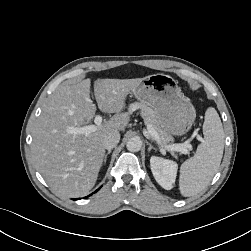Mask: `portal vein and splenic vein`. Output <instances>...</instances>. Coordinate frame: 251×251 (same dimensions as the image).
Segmentation results:
<instances>
[{"mask_svg": "<svg viewBox=\"0 0 251 251\" xmlns=\"http://www.w3.org/2000/svg\"><path fill=\"white\" fill-rule=\"evenodd\" d=\"M94 123H95V125H87V126H83V127H70L68 129V132L71 134H75V135H77V134L88 135V134L96 131L97 127L101 125L102 117L100 115H97L94 119ZM146 126H147V130H148L150 136L161 146L158 133L153 129V127L151 125H146ZM200 140H201V138H200ZM161 147H163V146H161ZM190 147H191V145L185 142L182 144L168 145L163 148L168 151H172V152L177 151V152H181L183 154H188L189 153L188 148H190Z\"/></svg>", "mask_w": 251, "mask_h": 251, "instance_id": "obj_1", "label": "portal vein and splenic vein"}]
</instances>
